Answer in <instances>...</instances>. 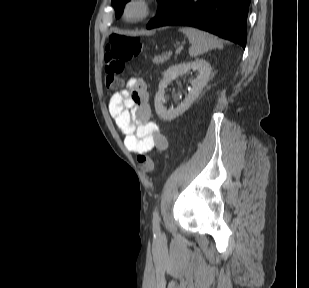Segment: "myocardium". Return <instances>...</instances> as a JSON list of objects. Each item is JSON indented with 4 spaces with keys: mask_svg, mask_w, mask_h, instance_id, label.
Masks as SVG:
<instances>
[{
    "mask_svg": "<svg viewBox=\"0 0 309 288\" xmlns=\"http://www.w3.org/2000/svg\"><path fill=\"white\" fill-rule=\"evenodd\" d=\"M156 4V0H126L122 8V17L128 23L142 22L154 12ZM133 5H139L141 11L139 15L130 17L128 12Z\"/></svg>",
    "mask_w": 309,
    "mask_h": 288,
    "instance_id": "1",
    "label": "myocardium"
}]
</instances>
